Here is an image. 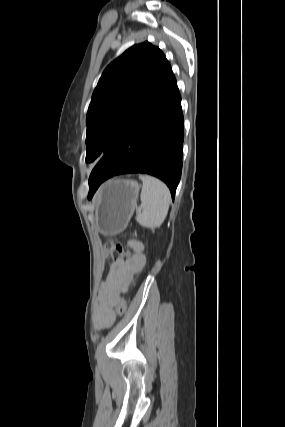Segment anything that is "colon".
<instances>
[{
	"label": "colon",
	"mask_w": 285,
	"mask_h": 427,
	"mask_svg": "<svg viewBox=\"0 0 285 427\" xmlns=\"http://www.w3.org/2000/svg\"><path fill=\"white\" fill-rule=\"evenodd\" d=\"M104 254L107 260H119L127 255L125 248L118 243H106L104 245ZM127 302L125 298H121L117 304L116 313L121 316L125 313Z\"/></svg>",
	"instance_id": "5ec220e1"
}]
</instances>
